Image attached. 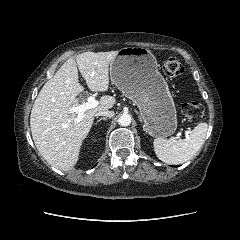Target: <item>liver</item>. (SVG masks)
<instances>
[{
	"mask_svg": "<svg viewBox=\"0 0 240 240\" xmlns=\"http://www.w3.org/2000/svg\"><path fill=\"white\" fill-rule=\"evenodd\" d=\"M118 51L84 52L69 58L40 90L31 111L32 138L42 157L52 166L69 171L79 159L81 145L92 127L98 111L111 109L115 98L104 95L95 108L84 112L77 122V95L84 87L79 83L78 70L93 92L109 88V65Z\"/></svg>",
	"mask_w": 240,
	"mask_h": 240,
	"instance_id": "obj_1",
	"label": "liver"
}]
</instances>
